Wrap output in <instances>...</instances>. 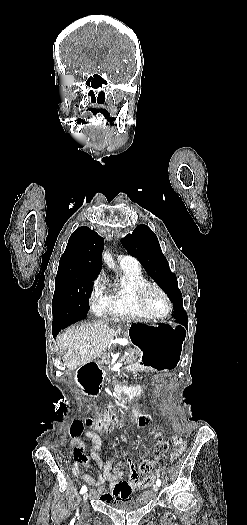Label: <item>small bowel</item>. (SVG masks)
I'll list each match as a JSON object with an SVG mask.
<instances>
[{
  "mask_svg": "<svg viewBox=\"0 0 247 525\" xmlns=\"http://www.w3.org/2000/svg\"><path fill=\"white\" fill-rule=\"evenodd\" d=\"M112 429V428H107ZM161 432H155L148 444L159 439ZM85 437L90 439L93 446L90 451V456L85 453V444L82 440L77 439L72 442L74 448L75 462L72 466L74 475L81 480L84 484L95 488L100 495L101 499L105 501L106 506H126L127 497L132 495V491L136 487H146L151 485L157 478H159L165 465L160 466L156 472L152 475L139 479L137 472L132 468L129 461L121 460L118 457H113L107 461H103L100 456L101 440L97 433H90L87 431ZM185 449V443L182 438L177 437L175 442V448L169 455V462L177 460ZM93 460L96 467L89 465V460ZM81 465L87 466L92 471L96 472V477H93L80 468ZM128 466L130 471L128 474L127 481H123L124 471L122 466ZM108 483L110 490H108L105 484Z\"/></svg>",
  "mask_w": 247,
  "mask_h": 525,
  "instance_id": "1",
  "label": "small bowel"
}]
</instances>
